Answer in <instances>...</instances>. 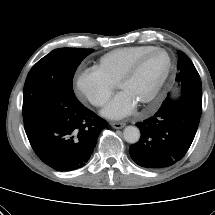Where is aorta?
Masks as SVG:
<instances>
[{
  "label": "aorta",
  "instance_id": "aorta-1",
  "mask_svg": "<svg viewBox=\"0 0 215 215\" xmlns=\"http://www.w3.org/2000/svg\"><path fill=\"white\" fill-rule=\"evenodd\" d=\"M123 137L128 143H137L140 139V130L135 126H127L123 131Z\"/></svg>",
  "mask_w": 215,
  "mask_h": 215
}]
</instances>
